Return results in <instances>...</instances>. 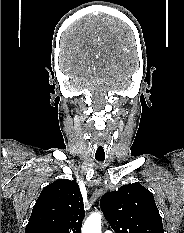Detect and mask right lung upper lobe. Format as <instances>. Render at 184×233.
Wrapping results in <instances>:
<instances>
[{"mask_svg": "<svg viewBox=\"0 0 184 233\" xmlns=\"http://www.w3.org/2000/svg\"><path fill=\"white\" fill-rule=\"evenodd\" d=\"M84 216L76 181L59 179L42 190L25 233H80Z\"/></svg>", "mask_w": 184, "mask_h": 233, "instance_id": "cb5924a9", "label": "right lung upper lobe"}]
</instances>
